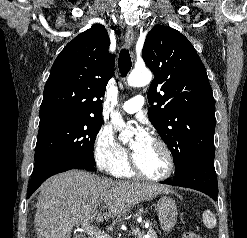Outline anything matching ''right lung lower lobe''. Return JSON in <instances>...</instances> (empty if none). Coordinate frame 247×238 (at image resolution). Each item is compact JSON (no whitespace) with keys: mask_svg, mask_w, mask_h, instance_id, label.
Returning a JSON list of instances; mask_svg holds the SVG:
<instances>
[{"mask_svg":"<svg viewBox=\"0 0 247 238\" xmlns=\"http://www.w3.org/2000/svg\"><path fill=\"white\" fill-rule=\"evenodd\" d=\"M70 169L76 168L67 163H56L43 168L38 174H36L34 177H31L27 191V198H29L47 178Z\"/></svg>","mask_w":247,"mask_h":238,"instance_id":"right-lung-lower-lobe-1","label":"right lung lower lobe"}]
</instances>
